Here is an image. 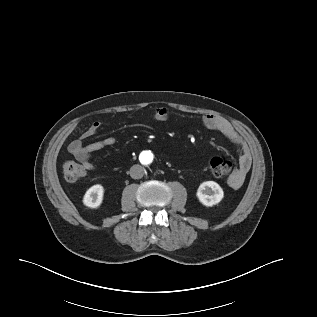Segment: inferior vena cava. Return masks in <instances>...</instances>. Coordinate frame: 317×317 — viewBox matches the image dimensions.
Here are the masks:
<instances>
[{
    "instance_id": "1",
    "label": "inferior vena cava",
    "mask_w": 317,
    "mask_h": 317,
    "mask_svg": "<svg viewBox=\"0 0 317 317\" xmlns=\"http://www.w3.org/2000/svg\"><path fill=\"white\" fill-rule=\"evenodd\" d=\"M144 175V169L141 165L135 164L130 168V176L134 179H140Z\"/></svg>"
}]
</instances>
